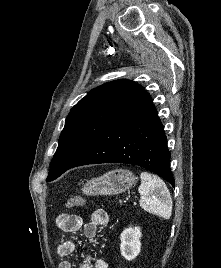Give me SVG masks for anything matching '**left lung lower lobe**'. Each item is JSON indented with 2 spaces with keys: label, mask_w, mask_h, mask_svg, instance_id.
Here are the masks:
<instances>
[{
  "label": "left lung lower lobe",
  "mask_w": 221,
  "mask_h": 268,
  "mask_svg": "<svg viewBox=\"0 0 221 268\" xmlns=\"http://www.w3.org/2000/svg\"><path fill=\"white\" fill-rule=\"evenodd\" d=\"M169 159L163 125L149 100L111 123L70 168L98 163L135 164L174 187Z\"/></svg>",
  "instance_id": "1"
}]
</instances>
